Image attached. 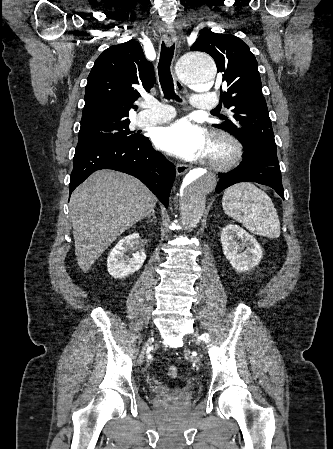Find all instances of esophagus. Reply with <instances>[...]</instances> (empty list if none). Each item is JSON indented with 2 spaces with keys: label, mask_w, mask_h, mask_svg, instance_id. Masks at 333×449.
I'll return each instance as SVG.
<instances>
[{
  "label": "esophagus",
  "mask_w": 333,
  "mask_h": 449,
  "mask_svg": "<svg viewBox=\"0 0 333 449\" xmlns=\"http://www.w3.org/2000/svg\"><path fill=\"white\" fill-rule=\"evenodd\" d=\"M164 40H165V42H166V44L168 46L176 44L177 43V37H176L175 32L174 31L166 32L164 34ZM176 85H177V88L181 92L185 91V87H184V85L181 82L177 81ZM187 170H188V166L185 165V164H177V166H176V173H177V175H183V174H185L187 172Z\"/></svg>",
  "instance_id": "obj_1"
}]
</instances>
